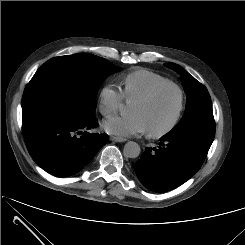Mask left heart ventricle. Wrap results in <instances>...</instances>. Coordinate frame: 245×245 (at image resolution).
I'll use <instances>...</instances> for the list:
<instances>
[{"label": "left heart ventricle", "instance_id": "left-heart-ventricle-1", "mask_svg": "<svg viewBox=\"0 0 245 245\" xmlns=\"http://www.w3.org/2000/svg\"><path fill=\"white\" fill-rule=\"evenodd\" d=\"M177 106V95L168 90L148 103L131 101L128 112L141 116L148 129L157 130L169 123Z\"/></svg>", "mask_w": 245, "mask_h": 245}]
</instances>
